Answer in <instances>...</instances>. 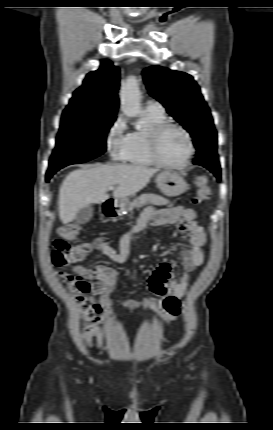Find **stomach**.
Masks as SVG:
<instances>
[{"instance_id": "0dacf381", "label": "stomach", "mask_w": 273, "mask_h": 430, "mask_svg": "<svg viewBox=\"0 0 273 430\" xmlns=\"http://www.w3.org/2000/svg\"><path fill=\"white\" fill-rule=\"evenodd\" d=\"M156 183L161 192L168 197H176L188 189L186 181L178 173L172 170H165L158 174ZM128 200L118 199L116 202V208L119 212L124 211L127 208Z\"/></svg>"}]
</instances>
